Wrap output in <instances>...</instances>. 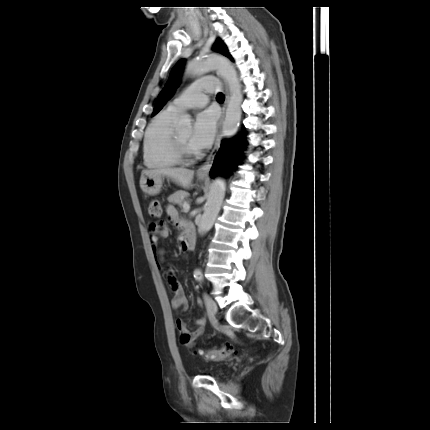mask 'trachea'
<instances>
[{"label":"trachea","mask_w":430,"mask_h":430,"mask_svg":"<svg viewBox=\"0 0 430 430\" xmlns=\"http://www.w3.org/2000/svg\"><path fill=\"white\" fill-rule=\"evenodd\" d=\"M216 99H217V100H224V99H225V96H224L222 93H219V94L216 96Z\"/></svg>","instance_id":"3493384b"}]
</instances>
